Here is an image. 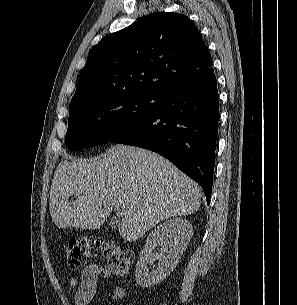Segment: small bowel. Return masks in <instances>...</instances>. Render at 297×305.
<instances>
[{
  "mask_svg": "<svg viewBox=\"0 0 297 305\" xmlns=\"http://www.w3.org/2000/svg\"><path fill=\"white\" fill-rule=\"evenodd\" d=\"M100 275L108 281L113 278L107 267L99 268L97 265L90 264L83 269L79 278L70 279L71 286L75 290L76 305H89L95 296ZM125 298L126 290L121 286H115L112 290V299L120 302Z\"/></svg>",
  "mask_w": 297,
  "mask_h": 305,
  "instance_id": "c3829d8e",
  "label": "small bowel"
}]
</instances>
